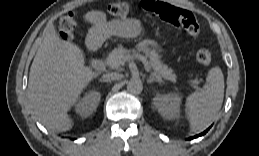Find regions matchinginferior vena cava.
<instances>
[{"instance_id":"602c4592","label":"inferior vena cava","mask_w":259,"mask_h":156,"mask_svg":"<svg viewBox=\"0 0 259 156\" xmlns=\"http://www.w3.org/2000/svg\"><path fill=\"white\" fill-rule=\"evenodd\" d=\"M122 75L116 72H109L102 76L103 79L107 81L119 80L121 79Z\"/></svg>"}]
</instances>
